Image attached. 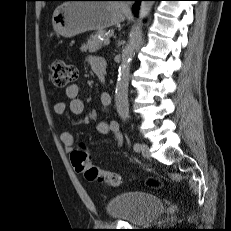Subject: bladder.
I'll use <instances>...</instances> for the list:
<instances>
[{
	"instance_id": "bladder-1",
	"label": "bladder",
	"mask_w": 231,
	"mask_h": 231,
	"mask_svg": "<svg viewBox=\"0 0 231 231\" xmlns=\"http://www.w3.org/2000/svg\"><path fill=\"white\" fill-rule=\"evenodd\" d=\"M106 214L132 225L153 223L164 211V202L145 192L120 194L105 205Z\"/></svg>"
}]
</instances>
